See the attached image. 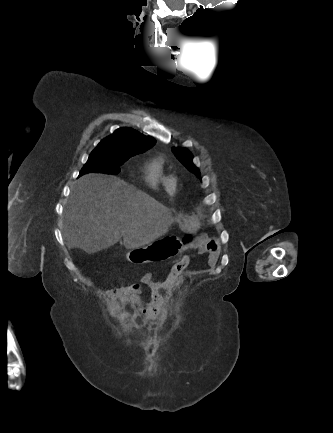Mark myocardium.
<instances>
[{
    "label": "myocardium",
    "instance_id": "1",
    "mask_svg": "<svg viewBox=\"0 0 333 433\" xmlns=\"http://www.w3.org/2000/svg\"><path fill=\"white\" fill-rule=\"evenodd\" d=\"M177 187V179L173 175H169L166 180V188L169 193H173Z\"/></svg>",
    "mask_w": 333,
    "mask_h": 433
}]
</instances>
